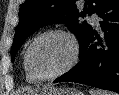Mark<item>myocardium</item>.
Segmentation results:
<instances>
[{
  "label": "myocardium",
  "instance_id": "obj_1",
  "mask_svg": "<svg viewBox=\"0 0 119 95\" xmlns=\"http://www.w3.org/2000/svg\"><path fill=\"white\" fill-rule=\"evenodd\" d=\"M52 35H62L64 37H66L71 42L72 56H71V59L69 60V62L58 72L51 74V75H41L35 70V68L32 64V51H33L35 45L41 39L48 37V36H52ZM79 56H80V44H79L77 38L75 37V35L65 29H52V30H48V31H45V32L39 34L30 43V45L28 46L27 51H26V65H27L29 72L36 79L42 80V81H49V80H54V79L64 75L68 71H70L77 64V62L79 60Z\"/></svg>",
  "mask_w": 119,
  "mask_h": 95
}]
</instances>
